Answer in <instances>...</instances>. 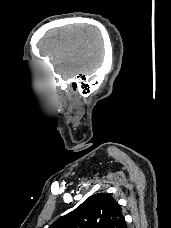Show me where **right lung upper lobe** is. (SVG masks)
<instances>
[{"mask_svg":"<svg viewBox=\"0 0 171 228\" xmlns=\"http://www.w3.org/2000/svg\"><path fill=\"white\" fill-rule=\"evenodd\" d=\"M49 228H126V222L116 200L109 194L98 193Z\"/></svg>","mask_w":171,"mask_h":228,"instance_id":"right-lung-upper-lobe-1","label":"right lung upper lobe"}]
</instances>
